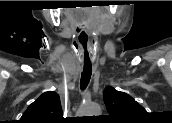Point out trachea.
I'll use <instances>...</instances> for the list:
<instances>
[{"mask_svg":"<svg viewBox=\"0 0 172 123\" xmlns=\"http://www.w3.org/2000/svg\"><path fill=\"white\" fill-rule=\"evenodd\" d=\"M88 55V53H87ZM92 75V66L89 63L88 65L85 66L84 71L81 74V81H80V85H81V89L84 90L91 78Z\"/></svg>","mask_w":172,"mask_h":123,"instance_id":"3493384b","label":"trachea"}]
</instances>
